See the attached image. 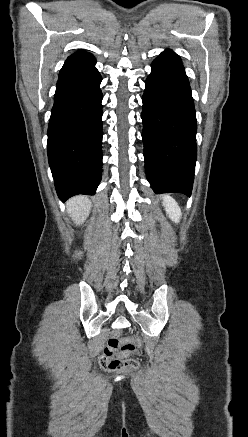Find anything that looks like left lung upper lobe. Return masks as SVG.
I'll list each match as a JSON object with an SVG mask.
<instances>
[{
	"mask_svg": "<svg viewBox=\"0 0 248 437\" xmlns=\"http://www.w3.org/2000/svg\"><path fill=\"white\" fill-rule=\"evenodd\" d=\"M157 58H168V59H173V60H176V61L181 62L180 57H179L176 53H174L173 51H171V50H166V51H164V52L161 53L160 56L157 57Z\"/></svg>",
	"mask_w": 248,
	"mask_h": 437,
	"instance_id": "obj_1",
	"label": "left lung upper lobe"
}]
</instances>
